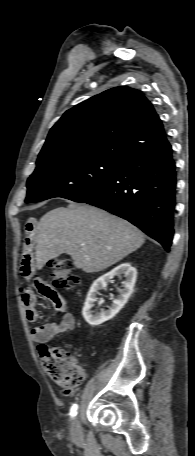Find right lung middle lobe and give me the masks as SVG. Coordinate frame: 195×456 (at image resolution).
I'll list each match as a JSON object with an SVG mask.
<instances>
[{
  "instance_id": "1",
  "label": "right lung middle lobe",
  "mask_w": 195,
  "mask_h": 456,
  "mask_svg": "<svg viewBox=\"0 0 195 456\" xmlns=\"http://www.w3.org/2000/svg\"><path fill=\"white\" fill-rule=\"evenodd\" d=\"M119 167V162L100 158H62L41 163L28 178L25 202L53 197L73 200L101 185Z\"/></svg>"
}]
</instances>
